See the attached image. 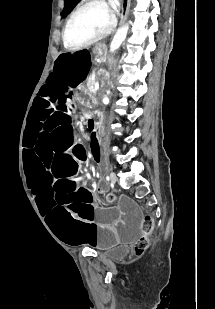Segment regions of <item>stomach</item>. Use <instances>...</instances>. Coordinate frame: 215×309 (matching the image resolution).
Here are the masks:
<instances>
[{
    "label": "stomach",
    "mask_w": 215,
    "mask_h": 309,
    "mask_svg": "<svg viewBox=\"0 0 215 309\" xmlns=\"http://www.w3.org/2000/svg\"><path fill=\"white\" fill-rule=\"evenodd\" d=\"M106 51V45L105 44H99L95 48V52L99 55L102 56ZM82 95L84 98H92L93 94L89 91V89H84L82 91Z\"/></svg>",
    "instance_id": "stomach-1"
}]
</instances>
